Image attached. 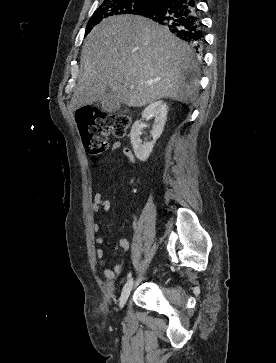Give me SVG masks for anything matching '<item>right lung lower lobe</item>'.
<instances>
[{
	"instance_id": "1",
	"label": "right lung lower lobe",
	"mask_w": 276,
	"mask_h": 363,
	"mask_svg": "<svg viewBox=\"0 0 276 363\" xmlns=\"http://www.w3.org/2000/svg\"><path fill=\"white\" fill-rule=\"evenodd\" d=\"M141 16L165 26L197 52L202 50L204 36L195 0H159Z\"/></svg>"
}]
</instances>
